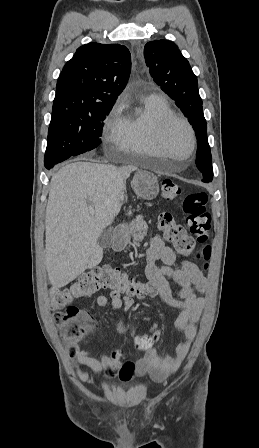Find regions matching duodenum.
<instances>
[{"label": "duodenum", "instance_id": "duodenum-1", "mask_svg": "<svg viewBox=\"0 0 259 448\" xmlns=\"http://www.w3.org/2000/svg\"><path fill=\"white\" fill-rule=\"evenodd\" d=\"M126 229L124 227L116 228L113 235L112 248L114 250H121L125 245Z\"/></svg>", "mask_w": 259, "mask_h": 448}]
</instances>
